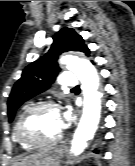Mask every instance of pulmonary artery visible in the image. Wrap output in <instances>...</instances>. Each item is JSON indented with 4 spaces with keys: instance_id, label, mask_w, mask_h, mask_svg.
I'll return each mask as SVG.
<instances>
[{
    "instance_id": "e3ab8cb5",
    "label": "pulmonary artery",
    "mask_w": 135,
    "mask_h": 166,
    "mask_svg": "<svg viewBox=\"0 0 135 166\" xmlns=\"http://www.w3.org/2000/svg\"><path fill=\"white\" fill-rule=\"evenodd\" d=\"M76 76L71 71H63L60 75V84L64 87L72 88L77 85Z\"/></svg>"
}]
</instances>
